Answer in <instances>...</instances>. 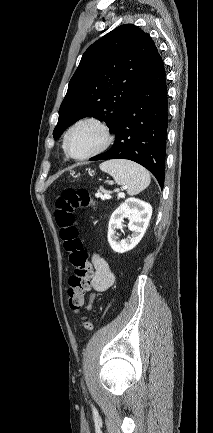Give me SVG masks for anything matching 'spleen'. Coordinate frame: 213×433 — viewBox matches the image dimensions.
Returning <instances> with one entry per match:
<instances>
[{"instance_id":"1","label":"spleen","mask_w":213,"mask_h":433,"mask_svg":"<svg viewBox=\"0 0 213 433\" xmlns=\"http://www.w3.org/2000/svg\"><path fill=\"white\" fill-rule=\"evenodd\" d=\"M100 169L113 177L115 182L127 188V194L136 195L150 184V174L141 165L128 160H109Z\"/></svg>"}]
</instances>
